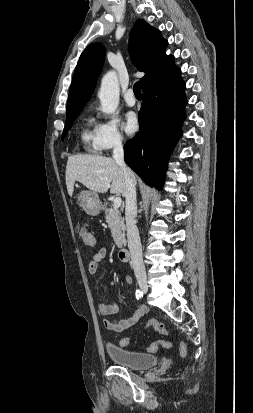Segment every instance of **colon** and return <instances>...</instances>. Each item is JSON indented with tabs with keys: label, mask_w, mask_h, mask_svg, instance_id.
Here are the masks:
<instances>
[{
	"label": "colon",
	"mask_w": 253,
	"mask_h": 413,
	"mask_svg": "<svg viewBox=\"0 0 253 413\" xmlns=\"http://www.w3.org/2000/svg\"><path fill=\"white\" fill-rule=\"evenodd\" d=\"M80 237L83 242V244L86 247L93 248L96 246L97 242L95 237L92 235L90 231H88L86 228H82L80 230ZM145 328H151L157 331L158 333L162 335H167L168 334V329L164 325V323L156 320V319H150L147 321L145 324ZM130 343V338H123L121 339V345L122 346H127ZM171 344L168 341L165 340H160L152 345L149 346L148 350L151 352L157 351L159 348H170ZM180 354L181 356H186L187 355V347L184 343H180Z\"/></svg>",
	"instance_id": "colon-1"
}]
</instances>
